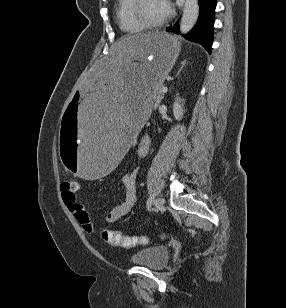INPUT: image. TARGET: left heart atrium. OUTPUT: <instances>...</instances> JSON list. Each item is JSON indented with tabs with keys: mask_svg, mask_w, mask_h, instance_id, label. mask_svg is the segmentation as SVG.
<instances>
[{
	"mask_svg": "<svg viewBox=\"0 0 286 308\" xmlns=\"http://www.w3.org/2000/svg\"><path fill=\"white\" fill-rule=\"evenodd\" d=\"M164 1H165V0H164ZM165 4H166V7H167V11H169V5H168V3L165 2Z\"/></svg>",
	"mask_w": 286,
	"mask_h": 308,
	"instance_id": "left-heart-atrium-1",
	"label": "left heart atrium"
}]
</instances>
